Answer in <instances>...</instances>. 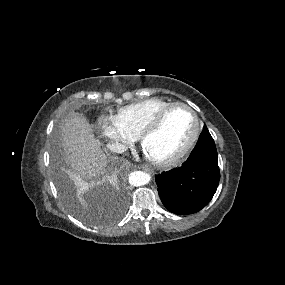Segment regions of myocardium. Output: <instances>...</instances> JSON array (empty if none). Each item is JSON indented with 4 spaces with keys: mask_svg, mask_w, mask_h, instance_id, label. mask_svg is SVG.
<instances>
[{
    "mask_svg": "<svg viewBox=\"0 0 285 285\" xmlns=\"http://www.w3.org/2000/svg\"><path fill=\"white\" fill-rule=\"evenodd\" d=\"M176 108H183L192 116L195 128L194 132L190 138V140L187 142V144L184 146L182 150H180L176 155L169 159L165 160H157L150 158L151 162L155 164L158 167L162 168H168L177 165L180 163L195 147L197 144L201 132H202V122L197 114V112L190 107L188 104L182 103V102H174L164 108L161 112H159L153 119H151L140 131L139 133V140L141 143L145 140V138L154 132L156 129L160 127V125L163 123L165 118L168 116L170 112H172Z\"/></svg>",
    "mask_w": 285,
    "mask_h": 285,
    "instance_id": "f54148a6",
    "label": "myocardium"
}]
</instances>
